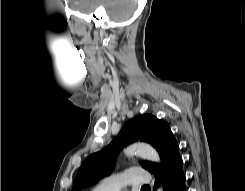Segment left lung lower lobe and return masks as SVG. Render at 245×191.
I'll use <instances>...</instances> for the list:
<instances>
[{
    "mask_svg": "<svg viewBox=\"0 0 245 191\" xmlns=\"http://www.w3.org/2000/svg\"><path fill=\"white\" fill-rule=\"evenodd\" d=\"M156 177L155 187L159 178L164 179V191H186L183 160L179 148L174 152L170 160L154 173Z\"/></svg>",
    "mask_w": 245,
    "mask_h": 191,
    "instance_id": "0a47b994",
    "label": "left lung lower lobe"
}]
</instances>
